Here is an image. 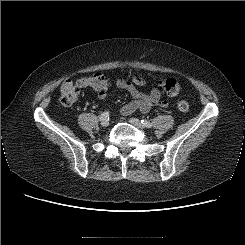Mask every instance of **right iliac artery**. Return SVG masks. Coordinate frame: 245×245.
<instances>
[{
    "label": "right iliac artery",
    "mask_w": 245,
    "mask_h": 245,
    "mask_svg": "<svg viewBox=\"0 0 245 245\" xmlns=\"http://www.w3.org/2000/svg\"><path fill=\"white\" fill-rule=\"evenodd\" d=\"M108 117H109V112L105 111L100 115L99 120L102 121L104 119H107Z\"/></svg>",
    "instance_id": "1"
}]
</instances>
